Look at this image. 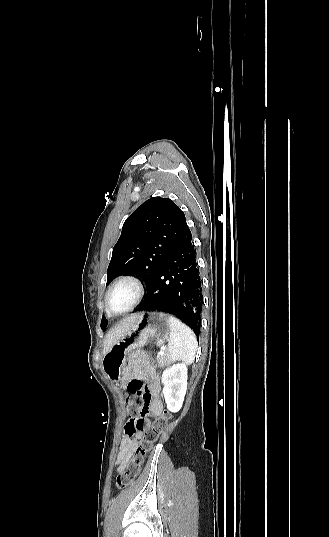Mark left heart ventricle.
<instances>
[{"mask_svg": "<svg viewBox=\"0 0 329 537\" xmlns=\"http://www.w3.org/2000/svg\"><path fill=\"white\" fill-rule=\"evenodd\" d=\"M136 297V287L131 283H122L111 293L110 307L114 312H123L133 304Z\"/></svg>", "mask_w": 329, "mask_h": 537, "instance_id": "left-heart-ventricle-1", "label": "left heart ventricle"}]
</instances>
